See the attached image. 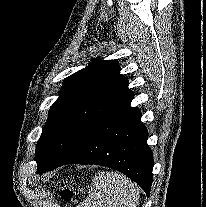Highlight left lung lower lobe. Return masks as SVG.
<instances>
[{
	"mask_svg": "<svg viewBox=\"0 0 206 207\" xmlns=\"http://www.w3.org/2000/svg\"><path fill=\"white\" fill-rule=\"evenodd\" d=\"M132 99L131 90L126 91L95 123L81 146L47 171L71 163L102 165L122 172L149 196L153 154L146 144L148 132L141 123L140 110L130 106ZM37 172L42 173L40 169Z\"/></svg>",
	"mask_w": 206,
	"mask_h": 207,
	"instance_id": "obj_1",
	"label": "left lung lower lobe"
}]
</instances>
